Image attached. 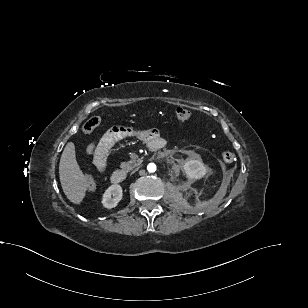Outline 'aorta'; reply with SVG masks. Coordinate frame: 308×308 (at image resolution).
<instances>
[{"label": "aorta", "instance_id": "1", "mask_svg": "<svg viewBox=\"0 0 308 308\" xmlns=\"http://www.w3.org/2000/svg\"><path fill=\"white\" fill-rule=\"evenodd\" d=\"M147 170H148L149 172H155V171H156V165H155L154 163L148 164Z\"/></svg>", "mask_w": 308, "mask_h": 308}]
</instances>
